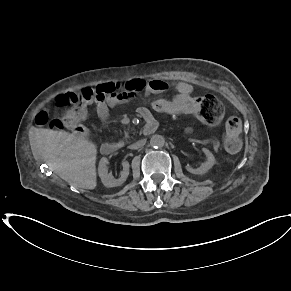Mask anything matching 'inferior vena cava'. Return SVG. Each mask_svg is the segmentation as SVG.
<instances>
[{
    "mask_svg": "<svg viewBox=\"0 0 291 291\" xmlns=\"http://www.w3.org/2000/svg\"><path fill=\"white\" fill-rule=\"evenodd\" d=\"M146 141L144 139L135 142L134 144L130 145L131 149H139L144 146Z\"/></svg>",
    "mask_w": 291,
    "mask_h": 291,
    "instance_id": "602c4592",
    "label": "inferior vena cava"
}]
</instances>
